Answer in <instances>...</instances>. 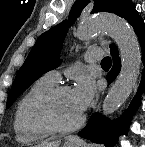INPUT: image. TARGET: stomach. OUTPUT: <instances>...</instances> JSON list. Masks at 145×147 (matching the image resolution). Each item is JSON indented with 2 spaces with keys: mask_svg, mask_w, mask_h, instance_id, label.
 <instances>
[{
  "mask_svg": "<svg viewBox=\"0 0 145 147\" xmlns=\"http://www.w3.org/2000/svg\"><path fill=\"white\" fill-rule=\"evenodd\" d=\"M63 147H80V144L75 142L66 141Z\"/></svg>",
  "mask_w": 145,
  "mask_h": 147,
  "instance_id": "obj_1",
  "label": "stomach"
}]
</instances>
